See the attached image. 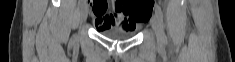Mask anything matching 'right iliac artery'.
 Wrapping results in <instances>:
<instances>
[{
    "label": "right iliac artery",
    "mask_w": 235,
    "mask_h": 62,
    "mask_svg": "<svg viewBox=\"0 0 235 62\" xmlns=\"http://www.w3.org/2000/svg\"><path fill=\"white\" fill-rule=\"evenodd\" d=\"M80 5L83 6L84 5V2L83 0L80 1Z\"/></svg>",
    "instance_id": "obj_1"
}]
</instances>
